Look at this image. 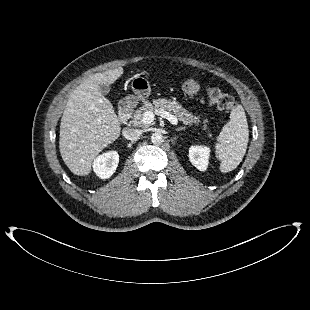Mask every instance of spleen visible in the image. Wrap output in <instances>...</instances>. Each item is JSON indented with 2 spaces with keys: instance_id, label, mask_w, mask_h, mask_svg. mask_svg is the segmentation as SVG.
Returning a JSON list of instances; mask_svg holds the SVG:
<instances>
[{
  "instance_id": "1",
  "label": "spleen",
  "mask_w": 310,
  "mask_h": 310,
  "mask_svg": "<svg viewBox=\"0 0 310 310\" xmlns=\"http://www.w3.org/2000/svg\"><path fill=\"white\" fill-rule=\"evenodd\" d=\"M249 140L248 123L244 108L237 105L230 113V121L223 126L215 145L216 155L221 161L220 171L229 172L242 161Z\"/></svg>"
}]
</instances>
